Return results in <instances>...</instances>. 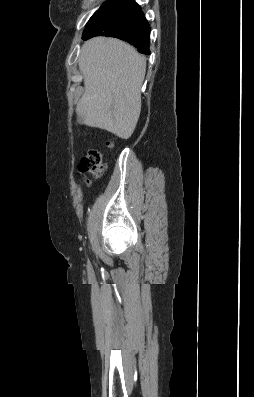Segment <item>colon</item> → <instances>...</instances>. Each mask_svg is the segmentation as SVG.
Wrapping results in <instances>:
<instances>
[{"label":"colon","mask_w":254,"mask_h":397,"mask_svg":"<svg viewBox=\"0 0 254 397\" xmlns=\"http://www.w3.org/2000/svg\"><path fill=\"white\" fill-rule=\"evenodd\" d=\"M111 146V142L107 143ZM80 171L83 173H90L94 177H99L104 169L103 157L100 151L90 150L81 160L79 165Z\"/></svg>","instance_id":"obj_1"}]
</instances>
